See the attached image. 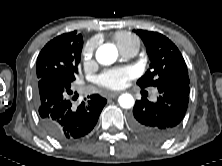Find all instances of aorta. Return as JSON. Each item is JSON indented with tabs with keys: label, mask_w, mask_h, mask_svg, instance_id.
<instances>
[{
	"label": "aorta",
	"mask_w": 222,
	"mask_h": 166,
	"mask_svg": "<svg viewBox=\"0 0 222 166\" xmlns=\"http://www.w3.org/2000/svg\"><path fill=\"white\" fill-rule=\"evenodd\" d=\"M118 57V51L115 45L106 43L101 45L96 51V60L102 65L113 64ZM118 102L122 108L129 109L134 106V98L129 93L119 96Z\"/></svg>",
	"instance_id": "1"
}]
</instances>
